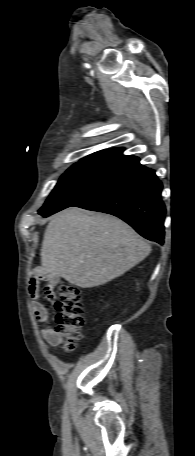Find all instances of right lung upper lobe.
<instances>
[{
    "instance_id": "obj_1",
    "label": "right lung upper lobe",
    "mask_w": 195,
    "mask_h": 456,
    "mask_svg": "<svg viewBox=\"0 0 195 456\" xmlns=\"http://www.w3.org/2000/svg\"><path fill=\"white\" fill-rule=\"evenodd\" d=\"M123 148H113L108 150L98 151L85 158L78 163H88L98 166L120 168L126 170L131 166L139 163V158L136 156L123 155Z\"/></svg>"
}]
</instances>
